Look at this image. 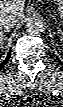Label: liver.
Here are the masks:
<instances>
[{
  "instance_id": "liver-1",
  "label": "liver",
  "mask_w": 63,
  "mask_h": 107,
  "mask_svg": "<svg viewBox=\"0 0 63 107\" xmlns=\"http://www.w3.org/2000/svg\"><path fill=\"white\" fill-rule=\"evenodd\" d=\"M25 0H1L0 1V15L1 13L16 15L18 19L24 17ZM3 39V33L0 34V40Z\"/></svg>"
}]
</instances>
